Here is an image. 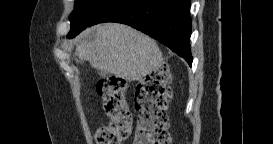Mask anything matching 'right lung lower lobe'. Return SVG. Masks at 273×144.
<instances>
[{
    "label": "right lung lower lobe",
    "instance_id": "98d812e1",
    "mask_svg": "<svg viewBox=\"0 0 273 144\" xmlns=\"http://www.w3.org/2000/svg\"><path fill=\"white\" fill-rule=\"evenodd\" d=\"M189 11L190 0H111L88 26L102 22L130 25L165 44L191 65Z\"/></svg>",
    "mask_w": 273,
    "mask_h": 144
}]
</instances>
